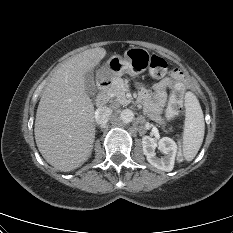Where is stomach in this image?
Here are the masks:
<instances>
[{"instance_id":"0dacf381","label":"stomach","mask_w":233,"mask_h":233,"mask_svg":"<svg viewBox=\"0 0 233 233\" xmlns=\"http://www.w3.org/2000/svg\"><path fill=\"white\" fill-rule=\"evenodd\" d=\"M150 65V53L140 47L127 49L123 56L114 55L106 63L103 74L108 80L114 81L123 74L137 76L147 70Z\"/></svg>"}]
</instances>
